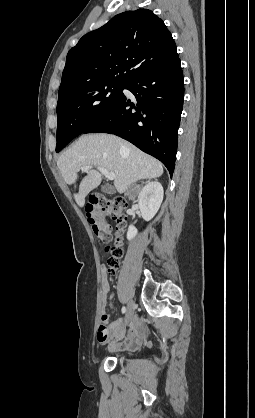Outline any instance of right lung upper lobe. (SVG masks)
<instances>
[{"instance_id":"right-lung-upper-lobe-1","label":"right lung upper lobe","mask_w":255,"mask_h":418,"mask_svg":"<svg viewBox=\"0 0 255 418\" xmlns=\"http://www.w3.org/2000/svg\"><path fill=\"white\" fill-rule=\"evenodd\" d=\"M176 58L170 32L151 10L123 12L70 49L58 94L100 82L127 84L144 71Z\"/></svg>"}]
</instances>
